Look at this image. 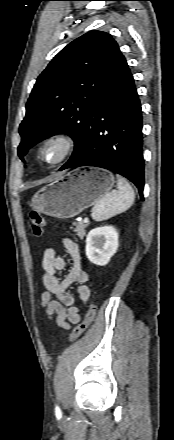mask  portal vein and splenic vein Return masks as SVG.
<instances>
[{"instance_id": "portal-vein-and-splenic-vein-1", "label": "portal vein and splenic vein", "mask_w": 174, "mask_h": 440, "mask_svg": "<svg viewBox=\"0 0 174 440\" xmlns=\"http://www.w3.org/2000/svg\"><path fill=\"white\" fill-rule=\"evenodd\" d=\"M84 222L87 223L89 222V219L87 217L84 218Z\"/></svg>"}]
</instances>
